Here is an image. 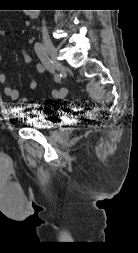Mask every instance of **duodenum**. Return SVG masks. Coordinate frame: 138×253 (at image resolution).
<instances>
[{
  "instance_id": "duodenum-1",
  "label": "duodenum",
  "mask_w": 138,
  "mask_h": 253,
  "mask_svg": "<svg viewBox=\"0 0 138 253\" xmlns=\"http://www.w3.org/2000/svg\"><path fill=\"white\" fill-rule=\"evenodd\" d=\"M28 13H29L30 18H35L37 15V10L30 9V11Z\"/></svg>"
}]
</instances>
